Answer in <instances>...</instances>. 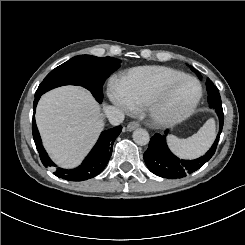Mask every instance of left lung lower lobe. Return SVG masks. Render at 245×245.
I'll use <instances>...</instances> for the list:
<instances>
[{
	"mask_svg": "<svg viewBox=\"0 0 245 245\" xmlns=\"http://www.w3.org/2000/svg\"><path fill=\"white\" fill-rule=\"evenodd\" d=\"M198 77L202 78L200 74H198ZM206 86L209 107L215 109L219 117V133L215 142L204 156L195 160H181L169 150L166 144L168 130L165 131V135L156 133L151 138L143 157L148 169L157 176L168 179L186 177L201 168L214 155L222 131L224 115L221 97L217 88L210 79H207Z\"/></svg>",
	"mask_w": 245,
	"mask_h": 245,
	"instance_id": "0a47b994",
	"label": "left lung lower lobe"
}]
</instances>
